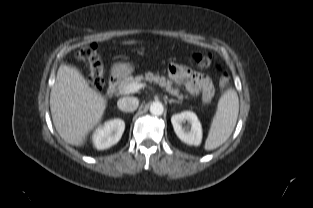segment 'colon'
<instances>
[{
    "mask_svg": "<svg viewBox=\"0 0 313 208\" xmlns=\"http://www.w3.org/2000/svg\"><path fill=\"white\" fill-rule=\"evenodd\" d=\"M78 56L88 62L90 67V80L93 86L97 89H101L104 85L103 66L98 53L97 44L91 43L84 46L79 50ZM192 56L194 61L202 67H208L211 64L212 57L207 52L195 51ZM229 82V75L221 70L219 77L220 87L227 86Z\"/></svg>",
    "mask_w": 313,
    "mask_h": 208,
    "instance_id": "1",
    "label": "colon"
}]
</instances>
